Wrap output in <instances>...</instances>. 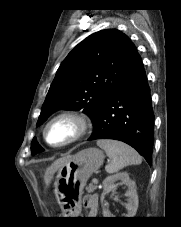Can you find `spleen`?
Instances as JSON below:
<instances>
[{
	"label": "spleen",
	"mask_w": 181,
	"mask_h": 227,
	"mask_svg": "<svg viewBox=\"0 0 181 227\" xmlns=\"http://www.w3.org/2000/svg\"><path fill=\"white\" fill-rule=\"evenodd\" d=\"M97 145L102 148L111 159L105 167L107 173H116L128 165L141 164V156L127 144L111 139H101Z\"/></svg>",
	"instance_id": "1"
}]
</instances>
